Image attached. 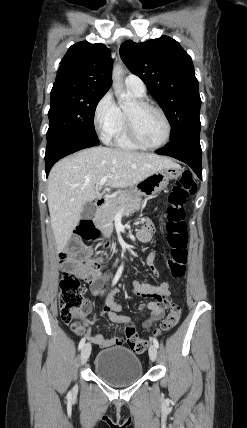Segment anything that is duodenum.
Masks as SVG:
<instances>
[{
    "label": "duodenum",
    "instance_id": "1",
    "mask_svg": "<svg viewBox=\"0 0 247 428\" xmlns=\"http://www.w3.org/2000/svg\"><path fill=\"white\" fill-rule=\"evenodd\" d=\"M105 203H106V199H105V197H100V198H98V199L96 200V205H97L98 207H102ZM105 246H106V247H111V243L107 242V243L105 244Z\"/></svg>",
    "mask_w": 247,
    "mask_h": 428
}]
</instances>
